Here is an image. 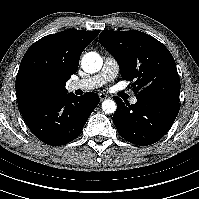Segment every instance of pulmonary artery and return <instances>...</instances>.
Masks as SVG:
<instances>
[{"label": "pulmonary artery", "mask_w": 199, "mask_h": 199, "mask_svg": "<svg viewBox=\"0 0 199 199\" xmlns=\"http://www.w3.org/2000/svg\"><path fill=\"white\" fill-rule=\"evenodd\" d=\"M119 72V67L117 61L111 56L104 57V63L102 69L85 79L74 80L69 84V91L83 90L90 91L101 87L109 81L114 80ZM130 102L135 104L137 98L135 96L131 97Z\"/></svg>", "instance_id": "obj_1"}]
</instances>
